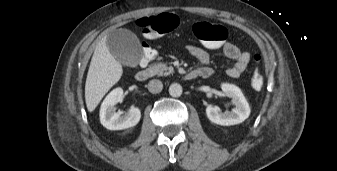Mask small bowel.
I'll use <instances>...</instances> for the list:
<instances>
[{
    "label": "small bowel",
    "instance_id": "c3829d8e",
    "mask_svg": "<svg viewBox=\"0 0 337 171\" xmlns=\"http://www.w3.org/2000/svg\"><path fill=\"white\" fill-rule=\"evenodd\" d=\"M212 49H220L225 57L234 61V64L227 69V75L231 78L240 77L250 62V54L245 51H241L239 47L231 42H226L221 46L211 47ZM190 55L195 57L202 66V69H209L212 75V69L208 66L210 62V55L208 51L202 47L196 45H190L187 48ZM208 78V77H207Z\"/></svg>",
    "mask_w": 337,
    "mask_h": 171
}]
</instances>
